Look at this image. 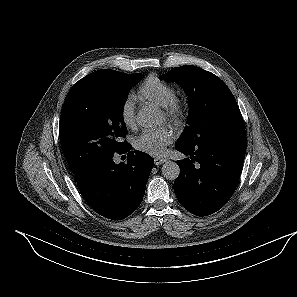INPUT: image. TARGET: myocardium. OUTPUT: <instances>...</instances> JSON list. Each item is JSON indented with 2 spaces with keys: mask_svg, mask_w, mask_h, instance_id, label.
Returning a JSON list of instances; mask_svg holds the SVG:
<instances>
[{
  "mask_svg": "<svg viewBox=\"0 0 297 297\" xmlns=\"http://www.w3.org/2000/svg\"><path fill=\"white\" fill-rule=\"evenodd\" d=\"M164 113L169 120L178 121L183 113L181 102L175 98L167 106L163 107Z\"/></svg>",
  "mask_w": 297,
  "mask_h": 297,
  "instance_id": "myocardium-1",
  "label": "myocardium"
}]
</instances>
